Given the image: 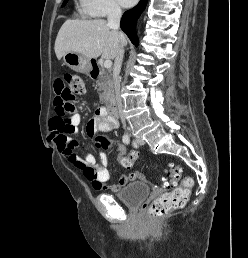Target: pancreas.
Here are the masks:
<instances>
[{"label": "pancreas", "mask_w": 248, "mask_h": 258, "mask_svg": "<svg viewBox=\"0 0 248 258\" xmlns=\"http://www.w3.org/2000/svg\"><path fill=\"white\" fill-rule=\"evenodd\" d=\"M96 82L100 87V101L104 102L108 99V95L112 92L113 81L110 71H106L105 69L100 68L99 77Z\"/></svg>", "instance_id": "obj_1"}]
</instances>
